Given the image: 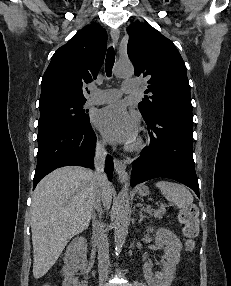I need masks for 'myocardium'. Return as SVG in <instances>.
Instances as JSON below:
<instances>
[{"instance_id":"1","label":"myocardium","mask_w":231,"mask_h":286,"mask_svg":"<svg viewBox=\"0 0 231 286\" xmlns=\"http://www.w3.org/2000/svg\"><path fill=\"white\" fill-rule=\"evenodd\" d=\"M144 145L143 142L139 139L137 141H135L131 146H130V150L131 151H135V152H139L143 149Z\"/></svg>"}]
</instances>
